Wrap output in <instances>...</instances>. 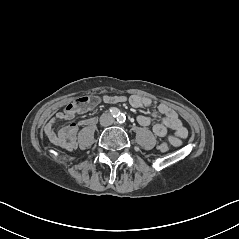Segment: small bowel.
Returning <instances> with one entry per match:
<instances>
[{"instance_id":"1","label":"small bowel","mask_w":239,"mask_h":239,"mask_svg":"<svg viewBox=\"0 0 239 239\" xmlns=\"http://www.w3.org/2000/svg\"><path fill=\"white\" fill-rule=\"evenodd\" d=\"M103 102L107 104H116L128 102L134 108L149 107L152 100L140 95H131L130 97L105 95ZM93 104H88L86 107L78 108L75 103L69 104L61 112H58L45 126V135L48 140L54 145L65 150L71 151L77 148V134L81 125H88L93 122V119H86L78 124L72 123L58 129L55 125L61 121H69L88 110ZM161 115L162 120L152 126L153 133L158 137H167L169 141L178 146L182 140L188 135V131L178 117V114L168 105L161 103L157 106L156 112L149 115H139L137 121L142 126H148L151 123V117ZM169 130L172 134H169Z\"/></svg>"}]
</instances>
